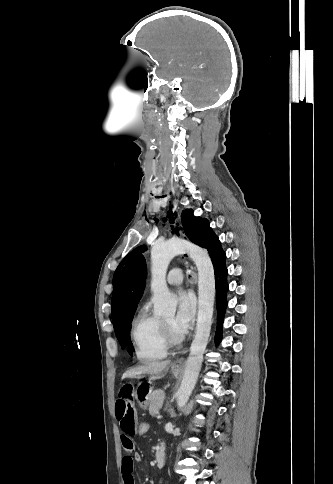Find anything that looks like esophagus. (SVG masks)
<instances>
[{"label": "esophagus", "instance_id": "1", "mask_svg": "<svg viewBox=\"0 0 333 484\" xmlns=\"http://www.w3.org/2000/svg\"><path fill=\"white\" fill-rule=\"evenodd\" d=\"M172 212H173V216H172V218L170 219V221L172 222V225H173V227H174L175 231H176V232H177L179 235L183 236V235H184V234H183V230L181 229V225H180V211H179V209H178L177 207H174V208L172 209ZM166 214H167V215L170 217V212H169V210H167V211H166ZM184 363H185V358H184V357H181V358L177 359V360L174 362V366H175V367H181V366H183V365H184Z\"/></svg>", "mask_w": 333, "mask_h": 484}]
</instances>
